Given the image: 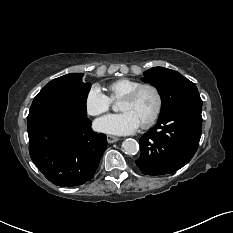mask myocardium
Listing matches in <instances>:
<instances>
[{"label": "myocardium", "instance_id": "f54148a6", "mask_svg": "<svg viewBox=\"0 0 233 233\" xmlns=\"http://www.w3.org/2000/svg\"><path fill=\"white\" fill-rule=\"evenodd\" d=\"M146 88H150L154 91L155 95H156V99H157V104H156V108L153 112V114L151 115V117L142 124L143 128H148L150 126H152L156 120L158 119L161 110H162V106H163V98H162V94L159 90V88L157 86H155L154 84H150V83H145V84H141L138 87H136L135 89H133L132 91H130L128 94H126L122 100L123 101H133L138 95L139 93Z\"/></svg>", "mask_w": 233, "mask_h": 233}]
</instances>
